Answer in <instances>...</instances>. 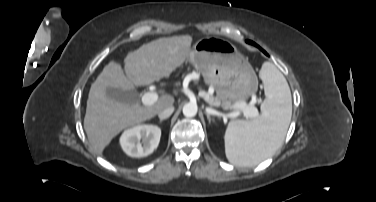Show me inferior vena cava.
<instances>
[{"label": "inferior vena cava", "mask_w": 376, "mask_h": 202, "mask_svg": "<svg viewBox=\"0 0 376 202\" xmlns=\"http://www.w3.org/2000/svg\"><path fill=\"white\" fill-rule=\"evenodd\" d=\"M174 112V107L170 106L158 113V117L162 120L169 118Z\"/></svg>", "instance_id": "1"}]
</instances>
